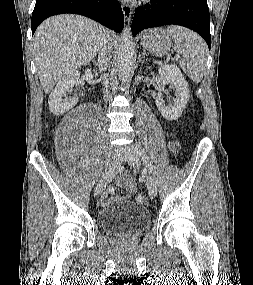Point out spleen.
Here are the masks:
<instances>
[{"instance_id":"spleen-1","label":"spleen","mask_w":253,"mask_h":285,"mask_svg":"<svg viewBox=\"0 0 253 285\" xmlns=\"http://www.w3.org/2000/svg\"><path fill=\"white\" fill-rule=\"evenodd\" d=\"M166 32L174 40V49L181 55L180 67L194 82L203 78L207 60V46L193 31L180 26L167 27Z\"/></svg>"}]
</instances>
